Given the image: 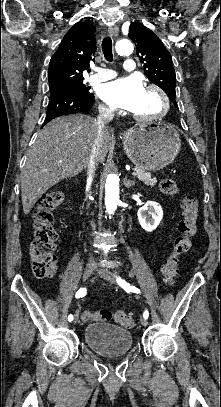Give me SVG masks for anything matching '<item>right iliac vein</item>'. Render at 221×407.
<instances>
[{
    "instance_id": "63e3f726",
    "label": "right iliac vein",
    "mask_w": 221,
    "mask_h": 407,
    "mask_svg": "<svg viewBox=\"0 0 221 407\" xmlns=\"http://www.w3.org/2000/svg\"><path fill=\"white\" fill-rule=\"evenodd\" d=\"M93 271H94L93 265L88 264L84 271L83 281H86L90 277V275L92 274ZM77 322H78V311H76V313L74 315V323H77Z\"/></svg>"
}]
</instances>
